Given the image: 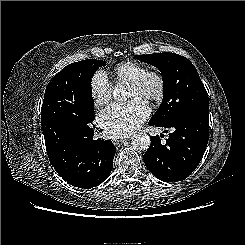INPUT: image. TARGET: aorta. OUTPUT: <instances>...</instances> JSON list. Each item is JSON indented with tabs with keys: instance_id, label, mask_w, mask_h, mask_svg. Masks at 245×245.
<instances>
[{
	"instance_id": "762f6f07",
	"label": "aorta",
	"mask_w": 245,
	"mask_h": 245,
	"mask_svg": "<svg viewBox=\"0 0 245 245\" xmlns=\"http://www.w3.org/2000/svg\"><path fill=\"white\" fill-rule=\"evenodd\" d=\"M112 95L116 100L124 101L126 99V92L123 87H115L112 91ZM151 140L146 133H137L132 136L131 144L134 149L147 150L150 146Z\"/></svg>"
}]
</instances>
